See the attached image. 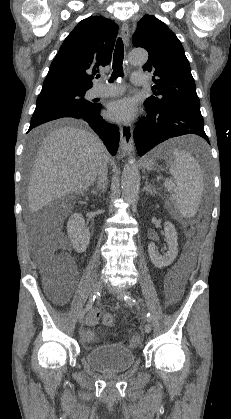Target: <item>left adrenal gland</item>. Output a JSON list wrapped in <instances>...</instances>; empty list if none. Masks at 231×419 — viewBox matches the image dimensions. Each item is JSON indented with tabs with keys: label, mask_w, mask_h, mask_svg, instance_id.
<instances>
[{
	"label": "left adrenal gland",
	"mask_w": 231,
	"mask_h": 419,
	"mask_svg": "<svg viewBox=\"0 0 231 419\" xmlns=\"http://www.w3.org/2000/svg\"><path fill=\"white\" fill-rule=\"evenodd\" d=\"M143 191L148 192L149 194L154 196V192L152 190V188L148 185V181L146 180L145 182V187L143 188Z\"/></svg>",
	"instance_id": "left-adrenal-gland-1"
}]
</instances>
